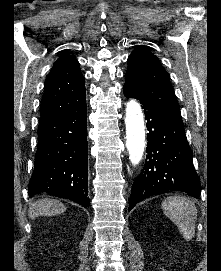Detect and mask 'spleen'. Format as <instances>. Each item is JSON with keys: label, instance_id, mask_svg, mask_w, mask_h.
<instances>
[{"label": "spleen", "instance_id": "3e777b00", "mask_svg": "<svg viewBox=\"0 0 221 271\" xmlns=\"http://www.w3.org/2000/svg\"><path fill=\"white\" fill-rule=\"evenodd\" d=\"M162 209L180 229L184 239H192L196 231L197 207L194 201L181 197V195H171L162 201Z\"/></svg>", "mask_w": 221, "mask_h": 271}]
</instances>
